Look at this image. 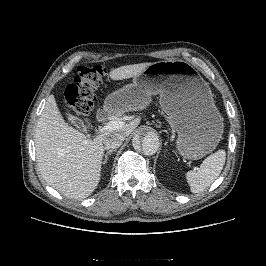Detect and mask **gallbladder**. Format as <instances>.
Listing matches in <instances>:
<instances>
[{"label":"gallbladder","mask_w":266,"mask_h":266,"mask_svg":"<svg viewBox=\"0 0 266 266\" xmlns=\"http://www.w3.org/2000/svg\"><path fill=\"white\" fill-rule=\"evenodd\" d=\"M68 118L71 120V122H72L75 126H77V128H79V129L82 130V131H86V128H85L84 126L81 125V121H80L77 117H75V116H73V115H69Z\"/></svg>","instance_id":"1"}]
</instances>
